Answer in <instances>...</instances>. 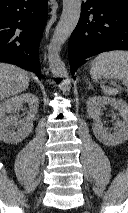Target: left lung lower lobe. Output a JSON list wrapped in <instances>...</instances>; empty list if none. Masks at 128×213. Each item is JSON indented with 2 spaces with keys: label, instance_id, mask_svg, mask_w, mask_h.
Instances as JSON below:
<instances>
[{
  "label": "left lung lower lobe",
  "instance_id": "obj_1",
  "mask_svg": "<svg viewBox=\"0 0 128 213\" xmlns=\"http://www.w3.org/2000/svg\"><path fill=\"white\" fill-rule=\"evenodd\" d=\"M82 9L68 46L72 76L86 58L128 50V0H86Z\"/></svg>",
  "mask_w": 128,
  "mask_h": 213
}]
</instances>
